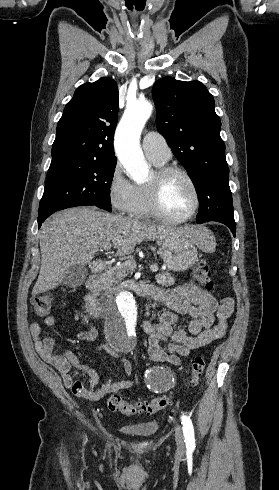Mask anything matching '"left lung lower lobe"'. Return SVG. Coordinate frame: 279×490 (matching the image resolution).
I'll use <instances>...</instances> for the list:
<instances>
[{
	"mask_svg": "<svg viewBox=\"0 0 279 490\" xmlns=\"http://www.w3.org/2000/svg\"><path fill=\"white\" fill-rule=\"evenodd\" d=\"M217 222H220V223L227 225L230 228L231 232L233 233V236H235V230H236L235 223H228V222H223V221H217Z\"/></svg>",
	"mask_w": 279,
	"mask_h": 490,
	"instance_id": "left-lung-lower-lobe-1",
	"label": "left lung lower lobe"
}]
</instances>
